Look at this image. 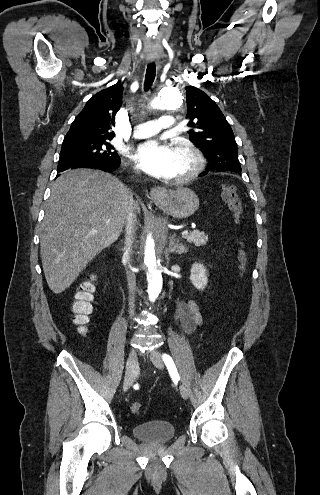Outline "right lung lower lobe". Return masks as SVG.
Masks as SVG:
<instances>
[{"label":"right lung lower lobe","mask_w":320,"mask_h":495,"mask_svg":"<svg viewBox=\"0 0 320 495\" xmlns=\"http://www.w3.org/2000/svg\"><path fill=\"white\" fill-rule=\"evenodd\" d=\"M120 163H121L120 160L117 162H84V163H77L59 168L57 172L61 173L65 170L75 169V168H94V169L103 170L105 172H112L119 167Z\"/></svg>","instance_id":"98d812e1"}]
</instances>
